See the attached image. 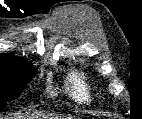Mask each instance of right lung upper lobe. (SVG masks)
Masks as SVG:
<instances>
[{"label": "right lung upper lobe", "mask_w": 142, "mask_h": 119, "mask_svg": "<svg viewBox=\"0 0 142 119\" xmlns=\"http://www.w3.org/2000/svg\"><path fill=\"white\" fill-rule=\"evenodd\" d=\"M29 66V62L13 55L0 54V69Z\"/></svg>", "instance_id": "right-lung-upper-lobe-1"}]
</instances>
